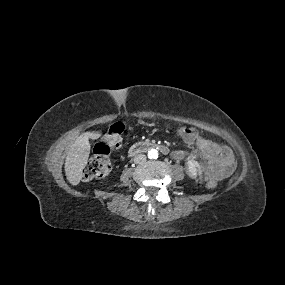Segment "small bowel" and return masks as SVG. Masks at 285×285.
<instances>
[{
    "label": "small bowel",
    "mask_w": 285,
    "mask_h": 285,
    "mask_svg": "<svg viewBox=\"0 0 285 285\" xmlns=\"http://www.w3.org/2000/svg\"><path fill=\"white\" fill-rule=\"evenodd\" d=\"M195 144L199 155L205 160V164L200 166L204 178L224 179L233 172L235 161L228 147L202 136H198ZM186 155L184 150L173 153L177 160L184 159Z\"/></svg>",
    "instance_id": "1"
}]
</instances>
